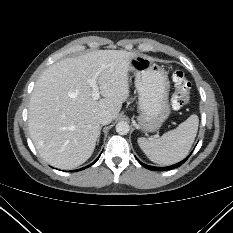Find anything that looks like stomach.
<instances>
[{
    "label": "stomach",
    "instance_id": "stomach-1",
    "mask_svg": "<svg viewBox=\"0 0 233 233\" xmlns=\"http://www.w3.org/2000/svg\"><path fill=\"white\" fill-rule=\"evenodd\" d=\"M129 70L135 75L138 92L139 127L144 132H155L170 115L167 72L154 59L145 55L132 57Z\"/></svg>",
    "mask_w": 233,
    "mask_h": 233
}]
</instances>
